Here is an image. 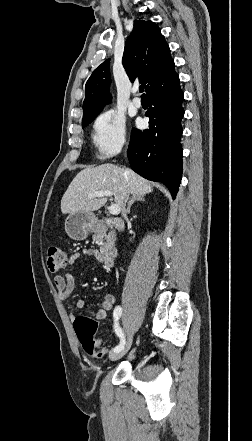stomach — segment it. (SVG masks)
<instances>
[{
  "label": "stomach",
  "instance_id": "stomach-1",
  "mask_svg": "<svg viewBox=\"0 0 252 441\" xmlns=\"http://www.w3.org/2000/svg\"><path fill=\"white\" fill-rule=\"evenodd\" d=\"M95 228L96 218L92 212L70 213L65 220L67 234L77 241L86 239L89 232H92Z\"/></svg>",
  "mask_w": 252,
  "mask_h": 441
}]
</instances>
